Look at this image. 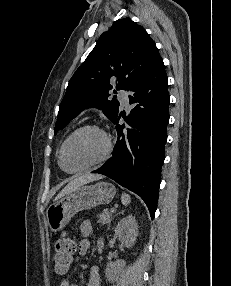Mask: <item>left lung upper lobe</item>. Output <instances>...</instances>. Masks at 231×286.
<instances>
[{
    "label": "left lung upper lobe",
    "instance_id": "obj_1",
    "mask_svg": "<svg viewBox=\"0 0 231 286\" xmlns=\"http://www.w3.org/2000/svg\"><path fill=\"white\" fill-rule=\"evenodd\" d=\"M160 58L142 26L130 18L117 20L100 36L69 81L54 134L87 107L100 108L113 121L119 112V101L109 98L108 92L113 88L110 79L116 80L117 90H128Z\"/></svg>",
    "mask_w": 231,
    "mask_h": 286
}]
</instances>
